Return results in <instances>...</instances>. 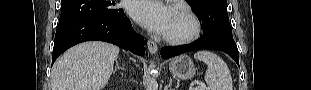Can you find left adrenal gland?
I'll use <instances>...</instances> for the list:
<instances>
[{
  "instance_id": "a2214340",
  "label": "left adrenal gland",
  "mask_w": 311,
  "mask_h": 90,
  "mask_svg": "<svg viewBox=\"0 0 311 90\" xmlns=\"http://www.w3.org/2000/svg\"><path fill=\"white\" fill-rule=\"evenodd\" d=\"M171 85H172V79H170L169 84L165 86V90H173L171 88Z\"/></svg>"
}]
</instances>
